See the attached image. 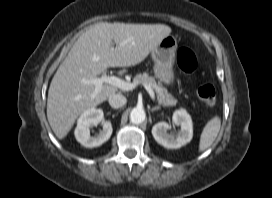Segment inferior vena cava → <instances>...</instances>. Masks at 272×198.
<instances>
[{"label":"inferior vena cava","instance_id":"inferior-vena-cava-1","mask_svg":"<svg viewBox=\"0 0 272 198\" xmlns=\"http://www.w3.org/2000/svg\"><path fill=\"white\" fill-rule=\"evenodd\" d=\"M126 97L121 93L112 94L108 97V102L113 108H120L126 104Z\"/></svg>","mask_w":272,"mask_h":198}]
</instances>
